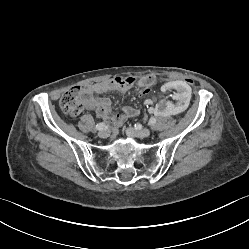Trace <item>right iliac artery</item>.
Segmentation results:
<instances>
[{"instance_id": "right-iliac-artery-1", "label": "right iliac artery", "mask_w": 249, "mask_h": 249, "mask_svg": "<svg viewBox=\"0 0 249 249\" xmlns=\"http://www.w3.org/2000/svg\"><path fill=\"white\" fill-rule=\"evenodd\" d=\"M104 127H105V124H104V123H98V124L96 125V128H97L98 130H102Z\"/></svg>"}]
</instances>
